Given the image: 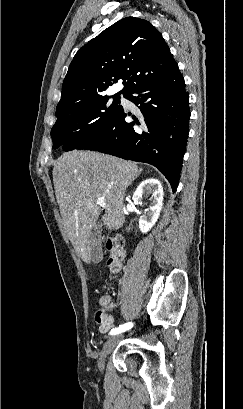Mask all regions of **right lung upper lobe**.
Returning a JSON list of instances; mask_svg holds the SVG:
<instances>
[{
	"mask_svg": "<svg viewBox=\"0 0 243 409\" xmlns=\"http://www.w3.org/2000/svg\"><path fill=\"white\" fill-rule=\"evenodd\" d=\"M177 68L161 33L150 22L136 17L121 19L76 53L57 109L99 97L120 79L124 85L121 92L128 93Z\"/></svg>",
	"mask_w": 243,
	"mask_h": 409,
	"instance_id": "obj_1",
	"label": "right lung upper lobe"
}]
</instances>
